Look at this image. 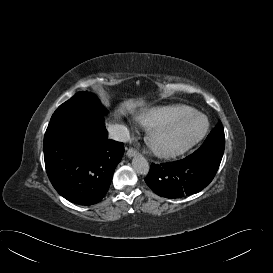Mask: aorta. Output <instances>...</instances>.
<instances>
[{"instance_id": "762f6f07", "label": "aorta", "mask_w": 273, "mask_h": 273, "mask_svg": "<svg viewBox=\"0 0 273 273\" xmlns=\"http://www.w3.org/2000/svg\"><path fill=\"white\" fill-rule=\"evenodd\" d=\"M132 166L135 172L140 175H146L150 169L149 163L147 162V160L139 154L133 158Z\"/></svg>"}]
</instances>
